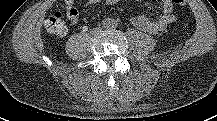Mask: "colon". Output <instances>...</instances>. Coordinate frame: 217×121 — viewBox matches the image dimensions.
<instances>
[{"label":"colon","instance_id":"1","mask_svg":"<svg viewBox=\"0 0 217 121\" xmlns=\"http://www.w3.org/2000/svg\"><path fill=\"white\" fill-rule=\"evenodd\" d=\"M177 6H184L186 0H170ZM47 30L57 36H64L67 33V26L61 12H55L46 20Z\"/></svg>","mask_w":217,"mask_h":121}]
</instances>
